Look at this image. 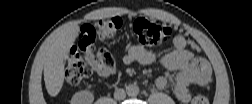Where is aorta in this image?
<instances>
[{
    "label": "aorta",
    "mask_w": 252,
    "mask_h": 104,
    "mask_svg": "<svg viewBox=\"0 0 252 104\" xmlns=\"http://www.w3.org/2000/svg\"><path fill=\"white\" fill-rule=\"evenodd\" d=\"M126 93L130 97H135L139 94V87L136 84H129L126 86Z\"/></svg>",
    "instance_id": "762f6f07"
}]
</instances>
